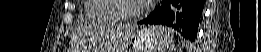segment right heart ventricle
<instances>
[{
	"instance_id": "1",
	"label": "right heart ventricle",
	"mask_w": 261,
	"mask_h": 52,
	"mask_svg": "<svg viewBox=\"0 0 261 52\" xmlns=\"http://www.w3.org/2000/svg\"><path fill=\"white\" fill-rule=\"evenodd\" d=\"M115 0H88L85 7L87 20L95 24H116L119 21L113 9Z\"/></svg>"
}]
</instances>
